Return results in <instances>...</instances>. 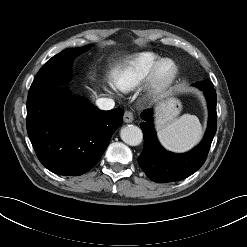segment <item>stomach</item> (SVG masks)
Instances as JSON below:
<instances>
[{
  "label": "stomach",
  "mask_w": 247,
  "mask_h": 247,
  "mask_svg": "<svg viewBox=\"0 0 247 247\" xmlns=\"http://www.w3.org/2000/svg\"><path fill=\"white\" fill-rule=\"evenodd\" d=\"M181 108V102L173 96L172 90H170L156 108L157 128L161 129L173 120L180 113Z\"/></svg>",
  "instance_id": "1"
}]
</instances>
